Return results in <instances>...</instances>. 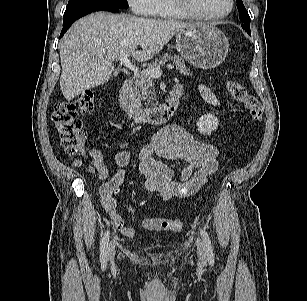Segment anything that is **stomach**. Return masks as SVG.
Here are the masks:
<instances>
[{
	"label": "stomach",
	"instance_id": "0dacf381",
	"mask_svg": "<svg viewBox=\"0 0 307 301\" xmlns=\"http://www.w3.org/2000/svg\"><path fill=\"white\" fill-rule=\"evenodd\" d=\"M176 49L191 65L210 69L224 61L229 43L227 37L217 27L194 24L177 34Z\"/></svg>",
	"mask_w": 307,
	"mask_h": 301
}]
</instances>
